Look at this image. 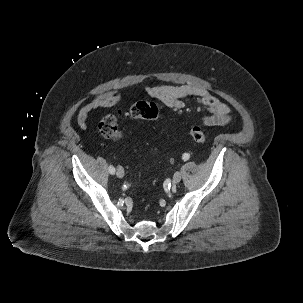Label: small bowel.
Returning a JSON list of instances; mask_svg holds the SVG:
<instances>
[{
	"label": "small bowel",
	"mask_w": 303,
	"mask_h": 303,
	"mask_svg": "<svg viewBox=\"0 0 303 303\" xmlns=\"http://www.w3.org/2000/svg\"><path fill=\"white\" fill-rule=\"evenodd\" d=\"M147 92L151 97L159 100L177 113L185 110V100L187 98H195L199 103L197 111L203 112L201 122L206 126H224L232 120L230 108L202 87L157 85L148 87ZM120 100L121 93L118 91H109L97 95L80 108L77 115L79 127L87 128V118L93 110L112 107Z\"/></svg>",
	"instance_id": "small-bowel-1"
}]
</instances>
